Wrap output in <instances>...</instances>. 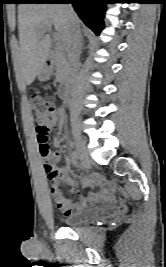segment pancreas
I'll use <instances>...</instances> for the list:
<instances>
[{
  "label": "pancreas",
  "mask_w": 166,
  "mask_h": 267,
  "mask_svg": "<svg viewBox=\"0 0 166 267\" xmlns=\"http://www.w3.org/2000/svg\"><path fill=\"white\" fill-rule=\"evenodd\" d=\"M67 49L61 45L56 49L55 52V70L56 79L61 80L66 77L69 72V62L66 55Z\"/></svg>",
  "instance_id": "obj_1"
}]
</instances>
